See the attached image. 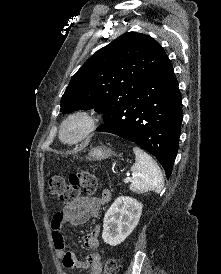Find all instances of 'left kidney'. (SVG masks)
Here are the masks:
<instances>
[{"label":"left kidney","instance_id":"5707ae66","mask_svg":"<svg viewBox=\"0 0 221 274\" xmlns=\"http://www.w3.org/2000/svg\"><path fill=\"white\" fill-rule=\"evenodd\" d=\"M142 204L132 197H118L105 214L102 238L110 246L122 243L137 226Z\"/></svg>","mask_w":221,"mask_h":274}]
</instances>
